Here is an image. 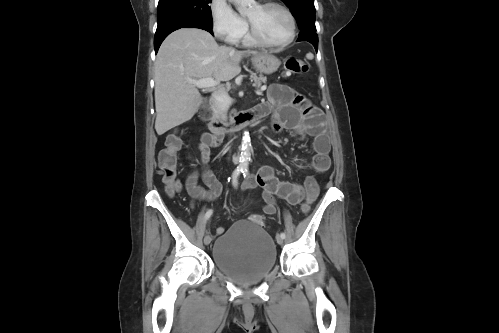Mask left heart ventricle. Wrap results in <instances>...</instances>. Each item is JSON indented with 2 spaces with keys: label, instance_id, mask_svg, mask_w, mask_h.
Here are the masks:
<instances>
[{
  "label": "left heart ventricle",
  "instance_id": "b2bd125f",
  "mask_svg": "<svg viewBox=\"0 0 499 333\" xmlns=\"http://www.w3.org/2000/svg\"><path fill=\"white\" fill-rule=\"evenodd\" d=\"M245 16L267 41L282 42L289 36V18L279 8H262L255 4Z\"/></svg>",
  "mask_w": 499,
  "mask_h": 333
}]
</instances>
